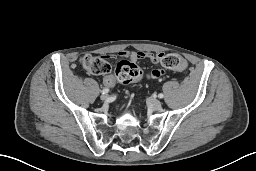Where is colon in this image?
<instances>
[{
    "instance_id": "obj_1",
    "label": "colon",
    "mask_w": 256,
    "mask_h": 171,
    "mask_svg": "<svg viewBox=\"0 0 256 171\" xmlns=\"http://www.w3.org/2000/svg\"><path fill=\"white\" fill-rule=\"evenodd\" d=\"M82 66L91 74L102 75L111 70V66L104 57L85 55L80 59ZM160 63L168 69L180 70L185 61L177 54H166ZM116 75L123 83L139 81L143 76L142 69L131 61H121L116 67Z\"/></svg>"
}]
</instances>
